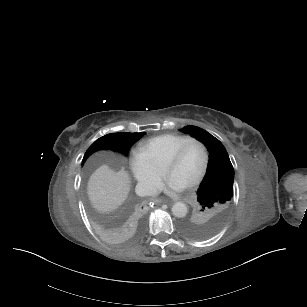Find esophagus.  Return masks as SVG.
I'll return each instance as SVG.
<instances>
[{
  "label": "esophagus",
  "mask_w": 307,
  "mask_h": 307,
  "mask_svg": "<svg viewBox=\"0 0 307 307\" xmlns=\"http://www.w3.org/2000/svg\"><path fill=\"white\" fill-rule=\"evenodd\" d=\"M154 203H155L156 205H161V204L164 203V201L161 200V199H155V200H154Z\"/></svg>",
  "instance_id": "obj_1"
}]
</instances>
